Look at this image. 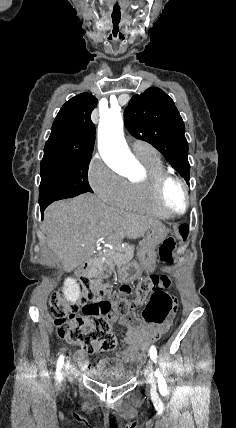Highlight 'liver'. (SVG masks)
Instances as JSON below:
<instances>
[{"label":"liver","instance_id":"6515ba94","mask_svg":"<svg viewBox=\"0 0 236 428\" xmlns=\"http://www.w3.org/2000/svg\"><path fill=\"white\" fill-rule=\"evenodd\" d=\"M157 224L161 222L154 218L110 208L94 194H81L48 206L42 230L48 248L62 262L65 272H71L91 260L101 238L109 244L123 238L137 240Z\"/></svg>","mask_w":236,"mask_h":428}]
</instances>
